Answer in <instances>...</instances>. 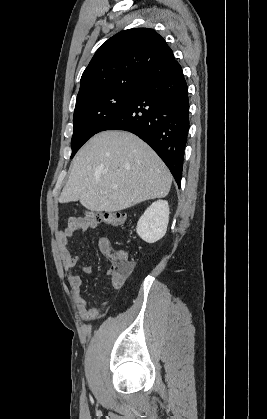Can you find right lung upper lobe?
Returning <instances> with one entry per match:
<instances>
[{
	"label": "right lung upper lobe",
	"instance_id": "1",
	"mask_svg": "<svg viewBox=\"0 0 267 419\" xmlns=\"http://www.w3.org/2000/svg\"><path fill=\"white\" fill-rule=\"evenodd\" d=\"M176 60L166 41L149 28L121 31L95 53L82 74L76 102L94 94L140 85Z\"/></svg>",
	"mask_w": 267,
	"mask_h": 419
}]
</instances>
